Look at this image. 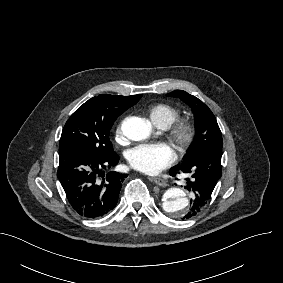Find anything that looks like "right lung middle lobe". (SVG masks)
I'll return each mask as SVG.
<instances>
[{
	"mask_svg": "<svg viewBox=\"0 0 283 283\" xmlns=\"http://www.w3.org/2000/svg\"><path fill=\"white\" fill-rule=\"evenodd\" d=\"M142 95L101 94L81 105L67 120L60 139L59 153L84 148L99 157L113 152L109 132L124 111L135 105Z\"/></svg>",
	"mask_w": 283,
	"mask_h": 283,
	"instance_id": "obj_1",
	"label": "right lung middle lobe"
}]
</instances>
